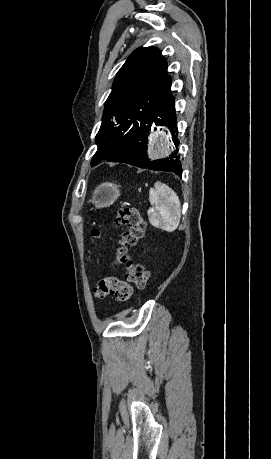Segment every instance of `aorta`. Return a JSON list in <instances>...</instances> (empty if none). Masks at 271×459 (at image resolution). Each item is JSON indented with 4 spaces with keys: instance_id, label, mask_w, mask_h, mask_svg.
I'll return each mask as SVG.
<instances>
[{
    "instance_id": "obj_1",
    "label": "aorta",
    "mask_w": 271,
    "mask_h": 459,
    "mask_svg": "<svg viewBox=\"0 0 271 459\" xmlns=\"http://www.w3.org/2000/svg\"><path fill=\"white\" fill-rule=\"evenodd\" d=\"M172 149L169 135L165 131H158L154 136V142L149 152L150 158L157 159L168 156Z\"/></svg>"
}]
</instances>
